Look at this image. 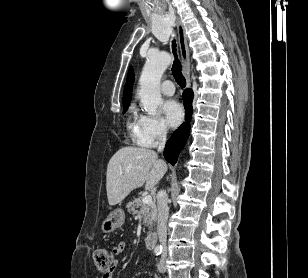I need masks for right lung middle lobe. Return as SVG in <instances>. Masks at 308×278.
Listing matches in <instances>:
<instances>
[{
  "label": "right lung middle lobe",
  "mask_w": 308,
  "mask_h": 278,
  "mask_svg": "<svg viewBox=\"0 0 308 278\" xmlns=\"http://www.w3.org/2000/svg\"><path fill=\"white\" fill-rule=\"evenodd\" d=\"M129 104H130L129 102H123V107H124L123 113L127 111Z\"/></svg>",
  "instance_id": "right-lung-middle-lobe-1"
}]
</instances>
